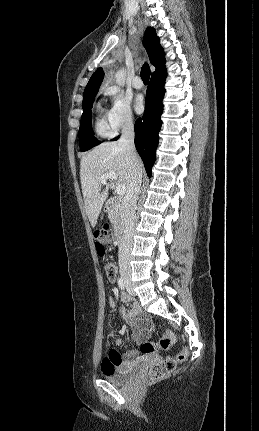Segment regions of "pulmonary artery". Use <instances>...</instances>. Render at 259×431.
Masks as SVG:
<instances>
[{
	"mask_svg": "<svg viewBox=\"0 0 259 431\" xmlns=\"http://www.w3.org/2000/svg\"><path fill=\"white\" fill-rule=\"evenodd\" d=\"M132 86L135 89H141L143 87V82H142L140 76H136V77L133 78V80H132Z\"/></svg>",
	"mask_w": 259,
	"mask_h": 431,
	"instance_id": "obj_1",
	"label": "pulmonary artery"
}]
</instances>
